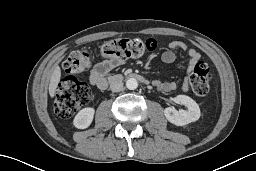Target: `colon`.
Segmentation results:
<instances>
[{
    "mask_svg": "<svg viewBox=\"0 0 256 171\" xmlns=\"http://www.w3.org/2000/svg\"><path fill=\"white\" fill-rule=\"evenodd\" d=\"M154 39L119 38L110 40L98 49L102 57L109 59L137 58L147 52L155 50ZM90 65V54L80 49L71 52L63 62V70L67 74L57 88L54 105L55 113L61 118L71 117L81 106L87 104L91 98L90 87L74 75L85 72ZM212 75L204 62H198L189 76L190 86L197 95L204 96L209 92Z\"/></svg>",
    "mask_w": 256,
    "mask_h": 171,
    "instance_id": "colon-1",
    "label": "colon"
}]
</instances>
